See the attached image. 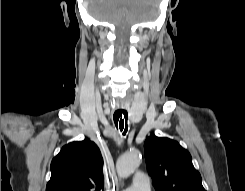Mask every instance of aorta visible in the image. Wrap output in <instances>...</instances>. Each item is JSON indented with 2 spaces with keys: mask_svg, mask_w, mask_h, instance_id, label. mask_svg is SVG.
Listing matches in <instances>:
<instances>
[{
  "mask_svg": "<svg viewBox=\"0 0 245 191\" xmlns=\"http://www.w3.org/2000/svg\"><path fill=\"white\" fill-rule=\"evenodd\" d=\"M141 160L140 151L133 149L123 154L116 163L117 174L121 178L129 177L139 166Z\"/></svg>",
  "mask_w": 245,
  "mask_h": 191,
  "instance_id": "obj_1",
  "label": "aorta"
}]
</instances>
